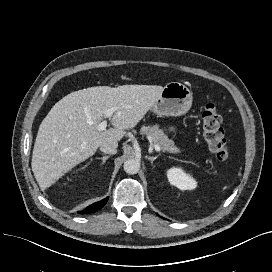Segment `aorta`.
<instances>
[{
	"mask_svg": "<svg viewBox=\"0 0 272 272\" xmlns=\"http://www.w3.org/2000/svg\"><path fill=\"white\" fill-rule=\"evenodd\" d=\"M123 167L127 174H136L140 169V161L138 159H128L124 162Z\"/></svg>",
	"mask_w": 272,
	"mask_h": 272,
	"instance_id": "obj_1",
	"label": "aorta"
}]
</instances>
